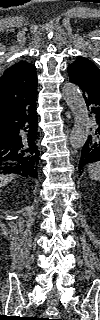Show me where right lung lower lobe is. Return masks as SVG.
I'll list each match as a JSON object with an SVG mask.
<instances>
[{
	"label": "right lung lower lobe",
	"instance_id": "obj_1",
	"mask_svg": "<svg viewBox=\"0 0 100 320\" xmlns=\"http://www.w3.org/2000/svg\"><path fill=\"white\" fill-rule=\"evenodd\" d=\"M36 90L18 101L0 104V160L17 162L1 164V173L38 176Z\"/></svg>",
	"mask_w": 100,
	"mask_h": 320
}]
</instances>
